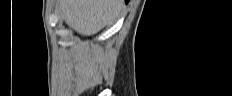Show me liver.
<instances>
[{"label": "liver", "instance_id": "liver-1", "mask_svg": "<svg viewBox=\"0 0 232 96\" xmlns=\"http://www.w3.org/2000/svg\"><path fill=\"white\" fill-rule=\"evenodd\" d=\"M60 9L70 28L89 36L120 17L124 0H60Z\"/></svg>", "mask_w": 232, "mask_h": 96}]
</instances>
